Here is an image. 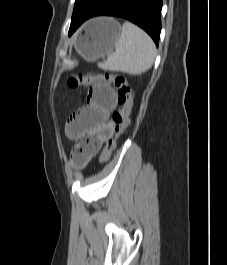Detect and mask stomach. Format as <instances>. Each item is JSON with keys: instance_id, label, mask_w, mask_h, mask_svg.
Segmentation results:
<instances>
[{"instance_id": "stomach-1", "label": "stomach", "mask_w": 227, "mask_h": 265, "mask_svg": "<svg viewBox=\"0 0 227 265\" xmlns=\"http://www.w3.org/2000/svg\"><path fill=\"white\" fill-rule=\"evenodd\" d=\"M120 33V25L114 19H92L78 37L76 50L86 61H94L112 52Z\"/></svg>"}]
</instances>
